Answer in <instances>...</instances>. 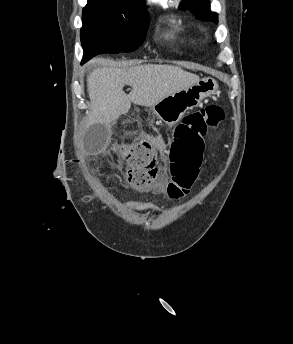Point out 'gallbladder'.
<instances>
[{
  "mask_svg": "<svg viewBox=\"0 0 293 344\" xmlns=\"http://www.w3.org/2000/svg\"><path fill=\"white\" fill-rule=\"evenodd\" d=\"M109 128L103 124H93L85 132L83 143L88 153H97L101 151L108 139Z\"/></svg>",
  "mask_w": 293,
  "mask_h": 344,
  "instance_id": "obj_1",
  "label": "gallbladder"
}]
</instances>
